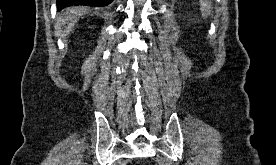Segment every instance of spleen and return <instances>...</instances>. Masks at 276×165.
<instances>
[{"label": "spleen", "instance_id": "obj_1", "mask_svg": "<svg viewBox=\"0 0 276 165\" xmlns=\"http://www.w3.org/2000/svg\"><path fill=\"white\" fill-rule=\"evenodd\" d=\"M200 10L203 17H207L211 14L212 4L209 0H200Z\"/></svg>", "mask_w": 276, "mask_h": 165}]
</instances>
